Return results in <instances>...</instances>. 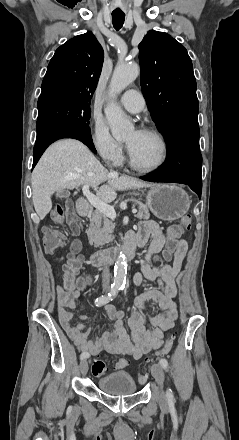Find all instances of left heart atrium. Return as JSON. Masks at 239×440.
<instances>
[{
  "instance_id": "left-heart-atrium-1",
  "label": "left heart atrium",
  "mask_w": 239,
  "mask_h": 440,
  "mask_svg": "<svg viewBox=\"0 0 239 440\" xmlns=\"http://www.w3.org/2000/svg\"><path fill=\"white\" fill-rule=\"evenodd\" d=\"M137 133H139L140 131H136ZM129 149L131 148V145L128 144Z\"/></svg>"
}]
</instances>
